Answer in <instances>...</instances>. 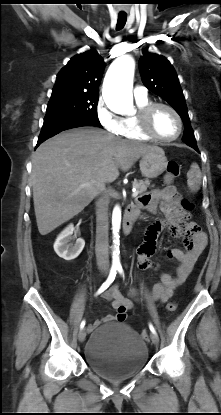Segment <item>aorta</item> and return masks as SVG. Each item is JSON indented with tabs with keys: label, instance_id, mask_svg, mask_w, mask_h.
<instances>
[{
	"label": "aorta",
	"instance_id": "aorta-1",
	"mask_svg": "<svg viewBox=\"0 0 221 415\" xmlns=\"http://www.w3.org/2000/svg\"><path fill=\"white\" fill-rule=\"evenodd\" d=\"M134 59L129 55L117 58L109 67L103 82V99L109 109L123 114L133 107ZM121 209L115 206L112 213L113 264L119 265V230Z\"/></svg>",
	"mask_w": 221,
	"mask_h": 415
}]
</instances>
